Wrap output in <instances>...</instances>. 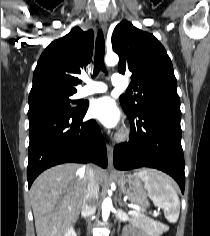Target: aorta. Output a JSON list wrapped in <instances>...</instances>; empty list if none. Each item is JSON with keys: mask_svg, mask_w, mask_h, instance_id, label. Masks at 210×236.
<instances>
[{"mask_svg": "<svg viewBox=\"0 0 210 236\" xmlns=\"http://www.w3.org/2000/svg\"><path fill=\"white\" fill-rule=\"evenodd\" d=\"M119 57L116 53H107L105 57V63L108 66H114L118 63ZM112 200L107 197L104 199L102 203V219L103 221H107L110 215V211L112 209Z\"/></svg>", "mask_w": 210, "mask_h": 236, "instance_id": "1", "label": "aorta"}]
</instances>
